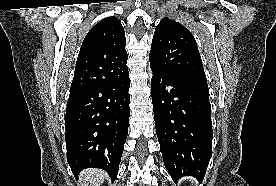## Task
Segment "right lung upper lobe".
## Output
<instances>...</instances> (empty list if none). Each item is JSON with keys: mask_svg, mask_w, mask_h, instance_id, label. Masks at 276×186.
Returning a JSON list of instances; mask_svg holds the SVG:
<instances>
[{"mask_svg": "<svg viewBox=\"0 0 276 186\" xmlns=\"http://www.w3.org/2000/svg\"><path fill=\"white\" fill-rule=\"evenodd\" d=\"M121 21L107 17L86 35L76 62L71 91L113 83L128 75Z\"/></svg>", "mask_w": 276, "mask_h": 186, "instance_id": "obj_1", "label": "right lung upper lobe"}]
</instances>
